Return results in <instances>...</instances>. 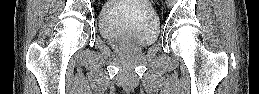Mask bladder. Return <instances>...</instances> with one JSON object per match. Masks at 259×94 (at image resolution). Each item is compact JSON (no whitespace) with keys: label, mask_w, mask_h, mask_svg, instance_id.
<instances>
[{"label":"bladder","mask_w":259,"mask_h":94,"mask_svg":"<svg viewBox=\"0 0 259 94\" xmlns=\"http://www.w3.org/2000/svg\"><path fill=\"white\" fill-rule=\"evenodd\" d=\"M100 34L111 43L146 46L158 36V22L152 7L144 1L109 3L99 19Z\"/></svg>","instance_id":"1"}]
</instances>
